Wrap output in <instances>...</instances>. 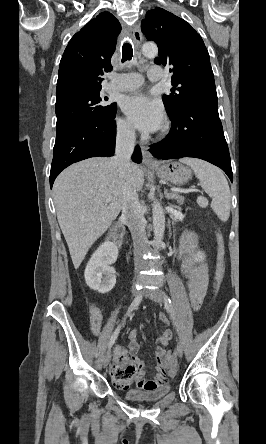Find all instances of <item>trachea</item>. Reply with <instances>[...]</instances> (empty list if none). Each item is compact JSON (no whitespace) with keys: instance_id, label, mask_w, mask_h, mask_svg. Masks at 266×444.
Listing matches in <instances>:
<instances>
[{"instance_id":"3493384b","label":"trachea","mask_w":266,"mask_h":444,"mask_svg":"<svg viewBox=\"0 0 266 444\" xmlns=\"http://www.w3.org/2000/svg\"><path fill=\"white\" fill-rule=\"evenodd\" d=\"M133 57V48L129 42H125L122 46V62L130 61Z\"/></svg>"}]
</instances>
